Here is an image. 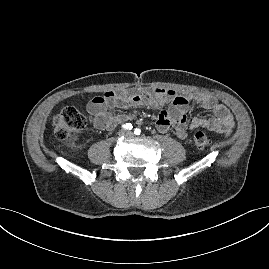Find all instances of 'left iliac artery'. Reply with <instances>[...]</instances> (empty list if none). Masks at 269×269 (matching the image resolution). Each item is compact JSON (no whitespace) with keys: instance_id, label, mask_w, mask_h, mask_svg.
Segmentation results:
<instances>
[{"instance_id":"left-iliac-artery-1","label":"left iliac artery","mask_w":269,"mask_h":269,"mask_svg":"<svg viewBox=\"0 0 269 269\" xmlns=\"http://www.w3.org/2000/svg\"><path fill=\"white\" fill-rule=\"evenodd\" d=\"M134 134L140 135L141 134V129L140 128H135Z\"/></svg>"}]
</instances>
